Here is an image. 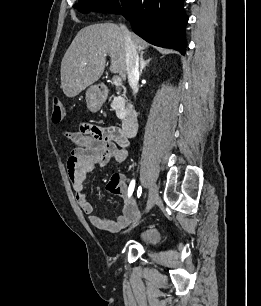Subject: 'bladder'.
Instances as JSON below:
<instances>
[{
  "mask_svg": "<svg viewBox=\"0 0 261 306\" xmlns=\"http://www.w3.org/2000/svg\"><path fill=\"white\" fill-rule=\"evenodd\" d=\"M160 233L155 227H148L140 233L139 240L143 244L156 245L159 241Z\"/></svg>",
  "mask_w": 261,
  "mask_h": 306,
  "instance_id": "obj_1",
  "label": "bladder"
}]
</instances>
